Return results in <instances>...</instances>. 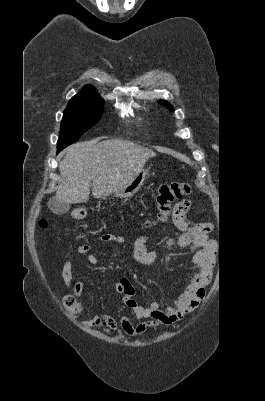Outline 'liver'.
I'll return each instance as SVG.
<instances>
[{"label":"liver","instance_id":"1","mask_svg":"<svg viewBox=\"0 0 265 401\" xmlns=\"http://www.w3.org/2000/svg\"><path fill=\"white\" fill-rule=\"evenodd\" d=\"M101 138L104 136L66 148L59 162L61 180L56 190L59 203H87L90 182L94 198L108 196L132 180L148 158L155 156L154 150L132 140Z\"/></svg>","mask_w":265,"mask_h":401}]
</instances>
